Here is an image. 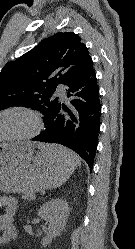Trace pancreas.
Here are the masks:
<instances>
[{
  "mask_svg": "<svg viewBox=\"0 0 135 249\" xmlns=\"http://www.w3.org/2000/svg\"><path fill=\"white\" fill-rule=\"evenodd\" d=\"M32 198V193H25L23 196H22V199L24 200H30Z\"/></svg>",
  "mask_w": 135,
  "mask_h": 249,
  "instance_id": "pancreas-1",
  "label": "pancreas"
}]
</instances>
